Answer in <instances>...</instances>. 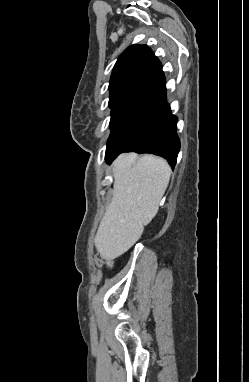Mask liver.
Listing matches in <instances>:
<instances>
[{
    "label": "liver",
    "instance_id": "6515ba94",
    "mask_svg": "<svg viewBox=\"0 0 249 382\" xmlns=\"http://www.w3.org/2000/svg\"><path fill=\"white\" fill-rule=\"evenodd\" d=\"M171 168L153 155L121 154L113 164V198L100 222L95 246L113 260L130 249L159 210Z\"/></svg>",
    "mask_w": 249,
    "mask_h": 382
}]
</instances>
